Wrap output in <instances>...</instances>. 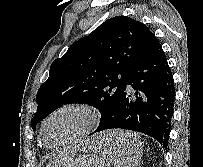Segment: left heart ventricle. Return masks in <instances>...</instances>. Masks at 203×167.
Returning <instances> with one entry per match:
<instances>
[{
  "mask_svg": "<svg viewBox=\"0 0 203 167\" xmlns=\"http://www.w3.org/2000/svg\"><path fill=\"white\" fill-rule=\"evenodd\" d=\"M84 118L78 112L68 111L54 117L45 128L44 140L47 144L57 143L71 135L83 124Z\"/></svg>",
  "mask_w": 203,
  "mask_h": 167,
  "instance_id": "b2bd125f",
  "label": "left heart ventricle"
}]
</instances>
